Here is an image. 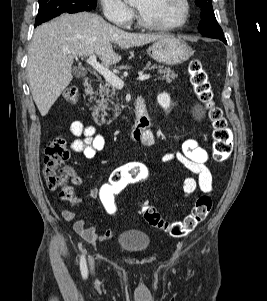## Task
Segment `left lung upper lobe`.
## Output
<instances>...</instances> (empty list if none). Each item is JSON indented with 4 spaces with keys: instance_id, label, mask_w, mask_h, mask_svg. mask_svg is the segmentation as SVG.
<instances>
[{
    "instance_id": "left-lung-upper-lobe-1",
    "label": "left lung upper lobe",
    "mask_w": 267,
    "mask_h": 301,
    "mask_svg": "<svg viewBox=\"0 0 267 301\" xmlns=\"http://www.w3.org/2000/svg\"><path fill=\"white\" fill-rule=\"evenodd\" d=\"M195 4L201 8L199 33L205 37L224 38L223 31L215 18L211 0H195Z\"/></svg>"
}]
</instances>
